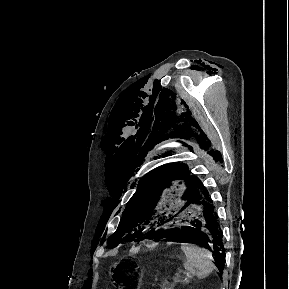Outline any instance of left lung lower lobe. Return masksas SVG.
Here are the masks:
<instances>
[{
    "instance_id": "obj_1",
    "label": "left lung lower lobe",
    "mask_w": 289,
    "mask_h": 289,
    "mask_svg": "<svg viewBox=\"0 0 289 289\" xmlns=\"http://www.w3.org/2000/svg\"><path fill=\"white\" fill-rule=\"evenodd\" d=\"M168 217L147 238L192 237L195 244L213 252L218 261L217 268L222 273L225 257L222 230L206 187L203 184L185 187L171 205ZM173 217L177 221L171 224Z\"/></svg>"
}]
</instances>
